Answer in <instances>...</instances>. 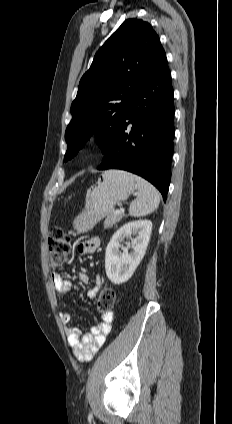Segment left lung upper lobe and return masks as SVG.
Instances as JSON below:
<instances>
[{
  "label": "left lung upper lobe",
  "instance_id": "left-lung-upper-lobe-1",
  "mask_svg": "<svg viewBox=\"0 0 232 424\" xmlns=\"http://www.w3.org/2000/svg\"><path fill=\"white\" fill-rule=\"evenodd\" d=\"M166 57L158 35L141 19H127L98 50L80 80L67 126L64 160L95 133L103 153L112 142L133 96Z\"/></svg>",
  "mask_w": 232,
  "mask_h": 424
}]
</instances>
